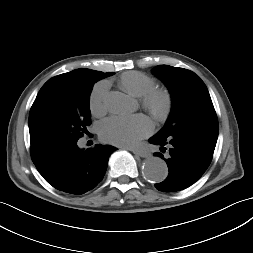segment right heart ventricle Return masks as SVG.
Instances as JSON below:
<instances>
[{"label": "right heart ventricle", "mask_w": 253, "mask_h": 253, "mask_svg": "<svg viewBox=\"0 0 253 253\" xmlns=\"http://www.w3.org/2000/svg\"><path fill=\"white\" fill-rule=\"evenodd\" d=\"M120 86L135 97H142L155 88V80L145 73L129 71L124 73L119 80Z\"/></svg>", "instance_id": "1"}]
</instances>
